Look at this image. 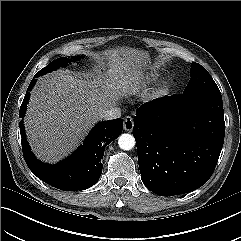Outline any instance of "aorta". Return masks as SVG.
I'll list each match as a JSON object with an SVG mask.
<instances>
[{"label":"aorta","instance_id":"762f6f07","mask_svg":"<svg viewBox=\"0 0 241 241\" xmlns=\"http://www.w3.org/2000/svg\"><path fill=\"white\" fill-rule=\"evenodd\" d=\"M118 145L123 150H131L135 146V138L131 134H121L118 138Z\"/></svg>","mask_w":241,"mask_h":241}]
</instances>
